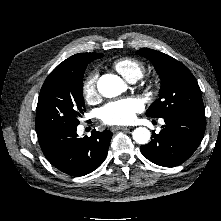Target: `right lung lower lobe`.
Listing matches in <instances>:
<instances>
[{"mask_svg": "<svg viewBox=\"0 0 221 221\" xmlns=\"http://www.w3.org/2000/svg\"><path fill=\"white\" fill-rule=\"evenodd\" d=\"M112 135L109 130H93L90 137L79 138L76 127H70L38 136V140L44 155L56 168L72 176H84L103 163Z\"/></svg>", "mask_w": 221, "mask_h": 221, "instance_id": "right-lung-lower-lobe-1", "label": "right lung lower lobe"}]
</instances>
